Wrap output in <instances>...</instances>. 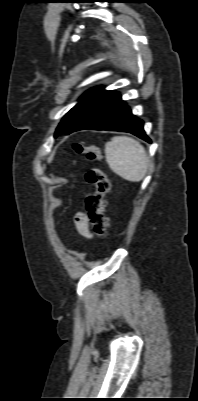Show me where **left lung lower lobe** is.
I'll return each instance as SVG.
<instances>
[{"mask_svg":"<svg viewBox=\"0 0 198 401\" xmlns=\"http://www.w3.org/2000/svg\"><path fill=\"white\" fill-rule=\"evenodd\" d=\"M84 129L129 132L151 142L144 132L142 120L131 113L116 91L103 90L85 108L66 133Z\"/></svg>","mask_w":198,"mask_h":401,"instance_id":"left-lung-lower-lobe-1","label":"left lung lower lobe"}]
</instances>
